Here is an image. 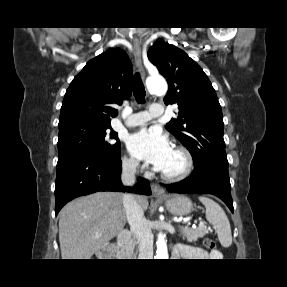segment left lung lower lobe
<instances>
[{
    "instance_id": "1",
    "label": "left lung lower lobe",
    "mask_w": 287,
    "mask_h": 287,
    "mask_svg": "<svg viewBox=\"0 0 287 287\" xmlns=\"http://www.w3.org/2000/svg\"><path fill=\"white\" fill-rule=\"evenodd\" d=\"M168 192L179 194H212L223 200L233 212L231 185L228 174L208 172L201 175H190L174 184L164 185Z\"/></svg>"
}]
</instances>
